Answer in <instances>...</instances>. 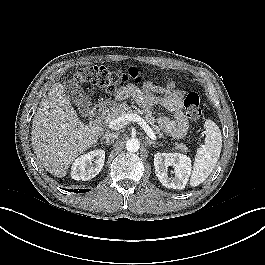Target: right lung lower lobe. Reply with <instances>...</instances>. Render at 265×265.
I'll return each instance as SVG.
<instances>
[{"label":"right lung lower lobe","mask_w":265,"mask_h":265,"mask_svg":"<svg viewBox=\"0 0 265 265\" xmlns=\"http://www.w3.org/2000/svg\"><path fill=\"white\" fill-rule=\"evenodd\" d=\"M71 192H75V193H85V192H88V189H75V190H72L70 189Z\"/></svg>","instance_id":"1"}]
</instances>
